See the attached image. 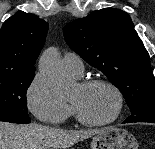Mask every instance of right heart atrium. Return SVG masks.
I'll return each mask as SVG.
<instances>
[{"instance_id":"obj_1","label":"right heart atrium","mask_w":155,"mask_h":149,"mask_svg":"<svg viewBox=\"0 0 155 149\" xmlns=\"http://www.w3.org/2000/svg\"><path fill=\"white\" fill-rule=\"evenodd\" d=\"M26 102L30 112L41 122L58 126L70 115V107L50 90L43 74L36 73L26 89Z\"/></svg>"}]
</instances>
